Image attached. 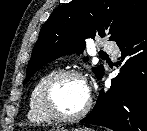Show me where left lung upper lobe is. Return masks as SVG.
Segmentation results:
<instances>
[{
    "mask_svg": "<svg viewBox=\"0 0 147 131\" xmlns=\"http://www.w3.org/2000/svg\"><path fill=\"white\" fill-rule=\"evenodd\" d=\"M146 26L147 0H72L56 8L42 26L24 84L45 64L82 53L88 39L109 36L119 45ZM93 70L98 79L104 74L103 66Z\"/></svg>",
    "mask_w": 147,
    "mask_h": 131,
    "instance_id": "5c2ea615",
    "label": "left lung upper lobe"
}]
</instances>
